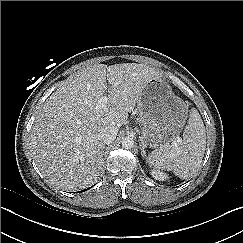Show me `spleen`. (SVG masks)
I'll return each instance as SVG.
<instances>
[{
    "label": "spleen",
    "mask_w": 243,
    "mask_h": 243,
    "mask_svg": "<svg viewBox=\"0 0 243 243\" xmlns=\"http://www.w3.org/2000/svg\"><path fill=\"white\" fill-rule=\"evenodd\" d=\"M206 148V131L197 110L191 109L183 138L151 152L148 163L156 169L172 171L182 179L191 177L200 167Z\"/></svg>",
    "instance_id": "spleen-1"
}]
</instances>
